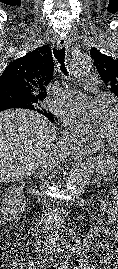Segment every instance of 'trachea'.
Listing matches in <instances>:
<instances>
[{
	"instance_id": "1",
	"label": "trachea",
	"mask_w": 118,
	"mask_h": 269,
	"mask_svg": "<svg viewBox=\"0 0 118 269\" xmlns=\"http://www.w3.org/2000/svg\"><path fill=\"white\" fill-rule=\"evenodd\" d=\"M53 54L55 58L57 59L58 63L60 64V70L65 75L68 76V71L65 67V47L61 49H53Z\"/></svg>"
}]
</instances>
